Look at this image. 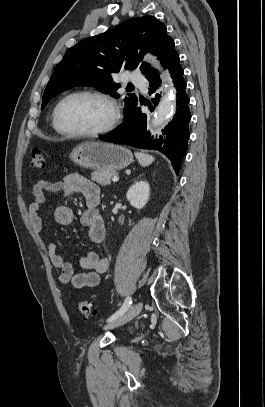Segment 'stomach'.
Listing matches in <instances>:
<instances>
[{"label": "stomach", "mask_w": 265, "mask_h": 407, "mask_svg": "<svg viewBox=\"0 0 265 407\" xmlns=\"http://www.w3.org/2000/svg\"><path fill=\"white\" fill-rule=\"evenodd\" d=\"M78 166L97 171H117L133 162V155L127 148L107 142H84L70 154Z\"/></svg>", "instance_id": "0dacf381"}]
</instances>
